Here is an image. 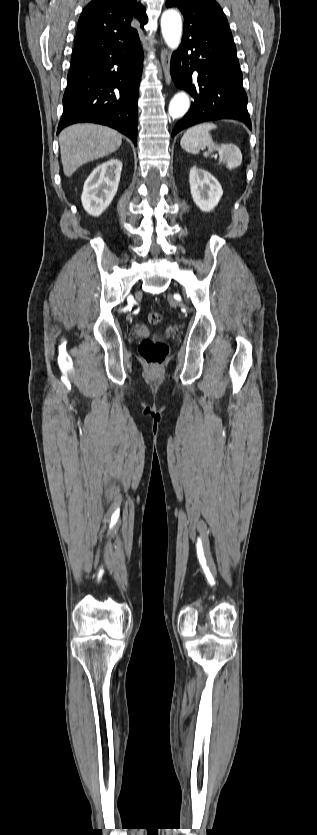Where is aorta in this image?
Returning a JSON list of instances; mask_svg holds the SVG:
<instances>
[{"instance_id":"1","label":"aorta","mask_w":317,"mask_h":835,"mask_svg":"<svg viewBox=\"0 0 317 835\" xmlns=\"http://www.w3.org/2000/svg\"><path fill=\"white\" fill-rule=\"evenodd\" d=\"M162 36L172 50H176L182 36V20L176 10H166L161 17ZM190 107L189 96L186 92L177 93L170 101L168 112L173 119L184 116Z\"/></svg>"}]
</instances>
